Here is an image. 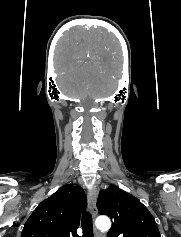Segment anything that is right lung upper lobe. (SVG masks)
Here are the masks:
<instances>
[{
  "label": "right lung upper lobe",
  "mask_w": 181,
  "mask_h": 237,
  "mask_svg": "<svg viewBox=\"0 0 181 237\" xmlns=\"http://www.w3.org/2000/svg\"><path fill=\"white\" fill-rule=\"evenodd\" d=\"M86 204V195L79 185H63L37 206L21 237H79L76 231Z\"/></svg>",
  "instance_id": "1"
}]
</instances>
